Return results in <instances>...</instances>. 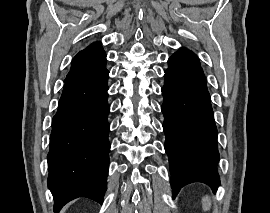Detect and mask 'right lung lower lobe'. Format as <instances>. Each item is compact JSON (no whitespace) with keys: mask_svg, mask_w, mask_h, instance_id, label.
<instances>
[{"mask_svg":"<svg viewBox=\"0 0 270 213\" xmlns=\"http://www.w3.org/2000/svg\"><path fill=\"white\" fill-rule=\"evenodd\" d=\"M108 74L105 68L64 85L47 156L55 212L78 197L102 204L110 150Z\"/></svg>","mask_w":270,"mask_h":213,"instance_id":"98d812e1","label":"right lung lower lobe"}]
</instances>
